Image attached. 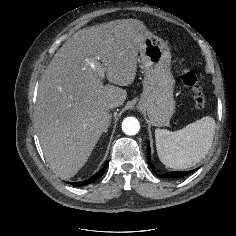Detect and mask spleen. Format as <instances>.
Wrapping results in <instances>:
<instances>
[{"mask_svg":"<svg viewBox=\"0 0 236 236\" xmlns=\"http://www.w3.org/2000/svg\"><path fill=\"white\" fill-rule=\"evenodd\" d=\"M215 126V120L206 116L174 132L156 129V149L160 161L174 169L195 166L209 152Z\"/></svg>","mask_w":236,"mask_h":236,"instance_id":"spleen-1","label":"spleen"}]
</instances>
